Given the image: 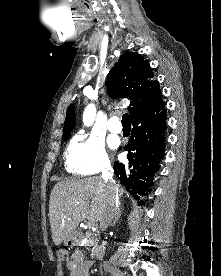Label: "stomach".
Returning <instances> with one entry per match:
<instances>
[{"label": "stomach", "instance_id": "1", "mask_svg": "<svg viewBox=\"0 0 221 276\" xmlns=\"http://www.w3.org/2000/svg\"><path fill=\"white\" fill-rule=\"evenodd\" d=\"M80 235L77 232H73L67 239L64 240V244L69 247L78 245Z\"/></svg>", "mask_w": 221, "mask_h": 276}]
</instances>
